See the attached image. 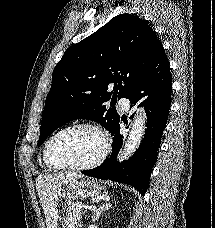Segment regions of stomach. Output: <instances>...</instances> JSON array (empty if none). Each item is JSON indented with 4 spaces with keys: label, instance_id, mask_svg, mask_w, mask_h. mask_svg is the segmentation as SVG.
Segmentation results:
<instances>
[{
    "label": "stomach",
    "instance_id": "obj_1",
    "mask_svg": "<svg viewBox=\"0 0 215 228\" xmlns=\"http://www.w3.org/2000/svg\"><path fill=\"white\" fill-rule=\"evenodd\" d=\"M104 182L100 180H80V182H66L59 184L54 198L57 202H73L77 198H96L104 194Z\"/></svg>",
    "mask_w": 215,
    "mask_h": 228
}]
</instances>
